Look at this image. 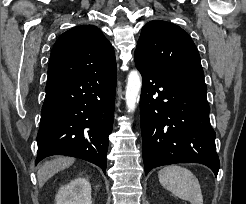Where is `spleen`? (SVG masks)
Listing matches in <instances>:
<instances>
[{
    "label": "spleen",
    "instance_id": "1",
    "mask_svg": "<svg viewBox=\"0 0 246 204\" xmlns=\"http://www.w3.org/2000/svg\"><path fill=\"white\" fill-rule=\"evenodd\" d=\"M161 185L177 197L191 204H203V195L197 177L187 168L169 165L158 172Z\"/></svg>",
    "mask_w": 246,
    "mask_h": 204
}]
</instances>
